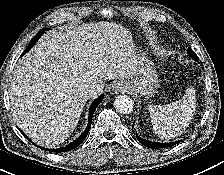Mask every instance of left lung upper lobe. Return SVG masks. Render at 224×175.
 <instances>
[{"label":"left lung upper lobe","mask_w":224,"mask_h":175,"mask_svg":"<svg viewBox=\"0 0 224 175\" xmlns=\"http://www.w3.org/2000/svg\"><path fill=\"white\" fill-rule=\"evenodd\" d=\"M187 53L190 57H192L195 61H198V57L197 55L194 53V51L189 47L187 50Z\"/></svg>","instance_id":"left-lung-upper-lobe-1"}]
</instances>
